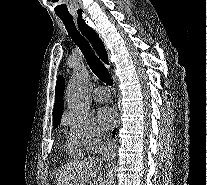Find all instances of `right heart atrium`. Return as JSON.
<instances>
[{
	"label": "right heart atrium",
	"mask_w": 207,
	"mask_h": 185,
	"mask_svg": "<svg viewBox=\"0 0 207 185\" xmlns=\"http://www.w3.org/2000/svg\"><path fill=\"white\" fill-rule=\"evenodd\" d=\"M62 123L69 128L71 136L89 152L98 151L107 140L105 131L89 113L67 111L62 117Z\"/></svg>",
	"instance_id": "obj_1"
}]
</instances>
